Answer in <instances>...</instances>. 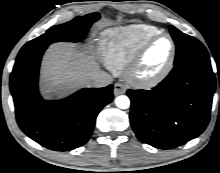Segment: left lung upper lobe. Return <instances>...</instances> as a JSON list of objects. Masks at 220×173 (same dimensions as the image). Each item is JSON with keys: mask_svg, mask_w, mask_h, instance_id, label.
<instances>
[{"mask_svg": "<svg viewBox=\"0 0 220 173\" xmlns=\"http://www.w3.org/2000/svg\"><path fill=\"white\" fill-rule=\"evenodd\" d=\"M169 28L176 44L174 66L185 65L193 61L209 60V54L200 41L182 33L173 26Z\"/></svg>", "mask_w": 220, "mask_h": 173, "instance_id": "5c2ea615", "label": "left lung upper lobe"}]
</instances>
